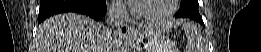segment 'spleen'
<instances>
[{"label":"spleen","instance_id":"3e777b00","mask_svg":"<svg viewBox=\"0 0 261 52\" xmlns=\"http://www.w3.org/2000/svg\"><path fill=\"white\" fill-rule=\"evenodd\" d=\"M183 28L187 35L188 50L196 49V46L198 45L197 41L199 38L200 31L198 30V28L195 25H193L192 23H189V22L184 23Z\"/></svg>","mask_w":261,"mask_h":52}]
</instances>
